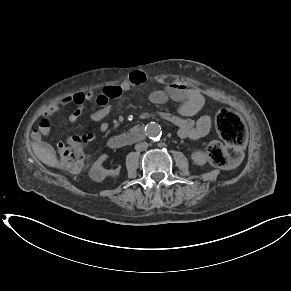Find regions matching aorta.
Wrapping results in <instances>:
<instances>
[{
	"label": "aorta",
	"mask_w": 291,
	"mask_h": 291,
	"mask_svg": "<svg viewBox=\"0 0 291 291\" xmlns=\"http://www.w3.org/2000/svg\"><path fill=\"white\" fill-rule=\"evenodd\" d=\"M162 134L161 127L157 123H150L146 127V135L150 139H158Z\"/></svg>",
	"instance_id": "762f6f07"
}]
</instances>
